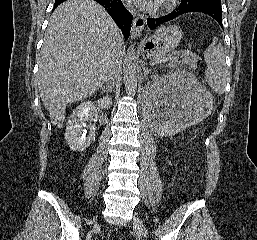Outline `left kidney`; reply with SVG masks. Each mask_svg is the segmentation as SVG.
<instances>
[{
  "instance_id": "1",
  "label": "left kidney",
  "mask_w": 257,
  "mask_h": 240,
  "mask_svg": "<svg viewBox=\"0 0 257 240\" xmlns=\"http://www.w3.org/2000/svg\"><path fill=\"white\" fill-rule=\"evenodd\" d=\"M209 97L187 72H171L152 80L144 90V111L151 130L171 136L197 124L208 114Z\"/></svg>"
}]
</instances>
